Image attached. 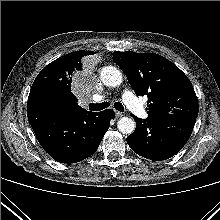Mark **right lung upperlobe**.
<instances>
[{
    "label": "right lung upper lobe",
    "instance_id": "1",
    "mask_svg": "<svg viewBox=\"0 0 220 220\" xmlns=\"http://www.w3.org/2000/svg\"><path fill=\"white\" fill-rule=\"evenodd\" d=\"M93 54V51H75L48 64L34 80L27 105H40V98L48 95L56 98L62 109L86 111L77 104V99L71 92V82L73 76L82 70L84 58Z\"/></svg>",
    "mask_w": 220,
    "mask_h": 220
}]
</instances>
